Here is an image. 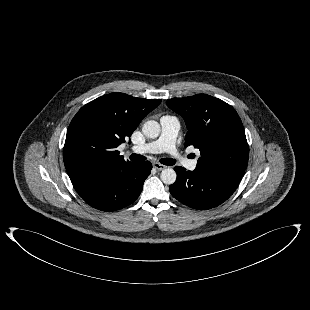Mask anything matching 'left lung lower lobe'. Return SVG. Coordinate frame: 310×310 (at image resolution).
<instances>
[{
	"label": "left lung lower lobe",
	"mask_w": 310,
	"mask_h": 310,
	"mask_svg": "<svg viewBox=\"0 0 310 310\" xmlns=\"http://www.w3.org/2000/svg\"><path fill=\"white\" fill-rule=\"evenodd\" d=\"M177 179L169 190L174 198L194 209H210L225 202L236 190L240 181L195 169L174 168Z\"/></svg>",
	"instance_id": "1"
}]
</instances>
